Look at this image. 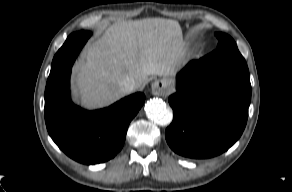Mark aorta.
I'll return each instance as SVG.
<instances>
[{
    "instance_id": "762f6f07",
    "label": "aorta",
    "mask_w": 292,
    "mask_h": 192,
    "mask_svg": "<svg viewBox=\"0 0 292 192\" xmlns=\"http://www.w3.org/2000/svg\"><path fill=\"white\" fill-rule=\"evenodd\" d=\"M144 110L147 116L159 125H167L172 121V114L161 99H150L145 104Z\"/></svg>"
}]
</instances>
